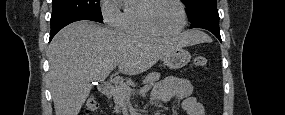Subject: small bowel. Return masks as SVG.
I'll use <instances>...</instances> for the list:
<instances>
[{
  "instance_id": "small-bowel-1",
  "label": "small bowel",
  "mask_w": 285,
  "mask_h": 115,
  "mask_svg": "<svg viewBox=\"0 0 285 115\" xmlns=\"http://www.w3.org/2000/svg\"><path fill=\"white\" fill-rule=\"evenodd\" d=\"M193 85L187 79L168 77L158 82L152 91L154 103L165 104L174 98L183 99V109L188 115H205L202 104L192 96Z\"/></svg>"
}]
</instances>
